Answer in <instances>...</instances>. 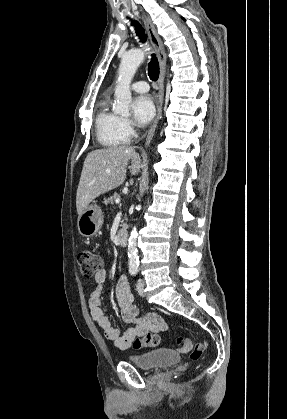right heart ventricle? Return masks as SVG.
Returning <instances> with one entry per match:
<instances>
[{
    "label": "right heart ventricle",
    "mask_w": 287,
    "mask_h": 419,
    "mask_svg": "<svg viewBox=\"0 0 287 419\" xmlns=\"http://www.w3.org/2000/svg\"><path fill=\"white\" fill-rule=\"evenodd\" d=\"M121 118L109 109L108 99L98 105L95 117V131L98 142L108 148L118 147L127 143L120 126Z\"/></svg>",
    "instance_id": "right-heart-ventricle-1"
}]
</instances>
